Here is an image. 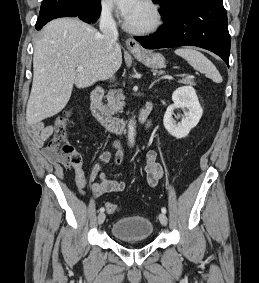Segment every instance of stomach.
<instances>
[{
  "mask_svg": "<svg viewBox=\"0 0 259 283\" xmlns=\"http://www.w3.org/2000/svg\"><path fill=\"white\" fill-rule=\"evenodd\" d=\"M133 55L141 61L146 66L159 69L165 65V59L162 54L152 52V51H143V52H132Z\"/></svg>",
  "mask_w": 259,
  "mask_h": 283,
  "instance_id": "1",
  "label": "stomach"
}]
</instances>
